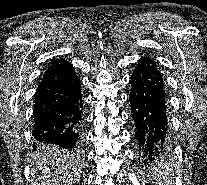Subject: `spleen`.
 Instances as JSON below:
<instances>
[{
	"label": "spleen",
	"mask_w": 207,
	"mask_h": 185,
	"mask_svg": "<svg viewBox=\"0 0 207 185\" xmlns=\"http://www.w3.org/2000/svg\"><path fill=\"white\" fill-rule=\"evenodd\" d=\"M150 179H172V174H150Z\"/></svg>",
	"instance_id": "obj_1"
}]
</instances>
